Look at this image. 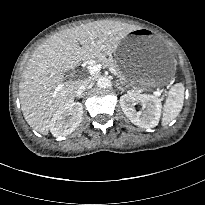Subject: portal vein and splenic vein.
Returning a JSON list of instances; mask_svg holds the SVG:
<instances>
[{
  "mask_svg": "<svg viewBox=\"0 0 205 205\" xmlns=\"http://www.w3.org/2000/svg\"><path fill=\"white\" fill-rule=\"evenodd\" d=\"M88 71L91 75H94L98 73L101 70V65L100 64H91L88 67ZM154 94L157 96H160L161 92L160 91H154Z\"/></svg>",
  "mask_w": 205,
  "mask_h": 205,
  "instance_id": "portal-vein-and-splenic-vein-1",
  "label": "portal vein and splenic vein"
}]
</instances>
